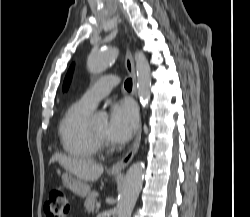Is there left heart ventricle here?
<instances>
[{
    "label": "left heart ventricle",
    "instance_id": "1",
    "mask_svg": "<svg viewBox=\"0 0 250 217\" xmlns=\"http://www.w3.org/2000/svg\"><path fill=\"white\" fill-rule=\"evenodd\" d=\"M93 129L102 137L107 138V121L98 120L91 122Z\"/></svg>",
    "mask_w": 250,
    "mask_h": 217
}]
</instances>
